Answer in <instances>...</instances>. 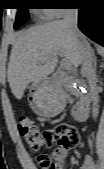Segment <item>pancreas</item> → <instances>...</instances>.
Listing matches in <instances>:
<instances>
[{
    "instance_id": "pancreas-1",
    "label": "pancreas",
    "mask_w": 104,
    "mask_h": 169,
    "mask_svg": "<svg viewBox=\"0 0 104 169\" xmlns=\"http://www.w3.org/2000/svg\"><path fill=\"white\" fill-rule=\"evenodd\" d=\"M74 74H65L61 80L62 85L67 88L70 84L73 83Z\"/></svg>"
}]
</instances>
